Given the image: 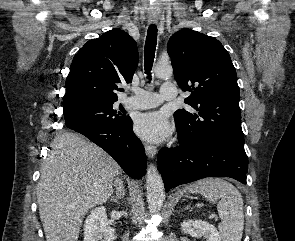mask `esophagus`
Here are the masks:
<instances>
[{"label":"esophagus","mask_w":295,"mask_h":241,"mask_svg":"<svg viewBox=\"0 0 295 241\" xmlns=\"http://www.w3.org/2000/svg\"><path fill=\"white\" fill-rule=\"evenodd\" d=\"M149 22L150 23H156L157 20L156 19H150ZM143 145H144V148H145V151H146L147 156L150 159H153L156 156L157 147L154 146V145H151V144H149L147 142H144Z\"/></svg>","instance_id":"esophagus-1"}]
</instances>
